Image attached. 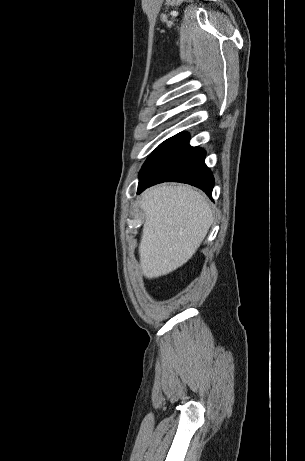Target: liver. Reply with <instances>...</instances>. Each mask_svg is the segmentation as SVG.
I'll return each instance as SVG.
<instances>
[{
  "label": "liver",
  "instance_id": "liver-1",
  "mask_svg": "<svg viewBox=\"0 0 305 461\" xmlns=\"http://www.w3.org/2000/svg\"><path fill=\"white\" fill-rule=\"evenodd\" d=\"M140 206L145 222L139 268L149 279L167 275L191 259L213 222L206 198L186 185L149 188Z\"/></svg>",
  "mask_w": 305,
  "mask_h": 461
}]
</instances>
